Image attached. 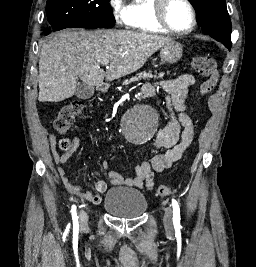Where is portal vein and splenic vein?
Returning <instances> with one entry per match:
<instances>
[{"label":"portal vein and splenic vein","instance_id":"1","mask_svg":"<svg viewBox=\"0 0 256 267\" xmlns=\"http://www.w3.org/2000/svg\"><path fill=\"white\" fill-rule=\"evenodd\" d=\"M101 64H103V66H108L107 62H101Z\"/></svg>","mask_w":256,"mask_h":267}]
</instances>
